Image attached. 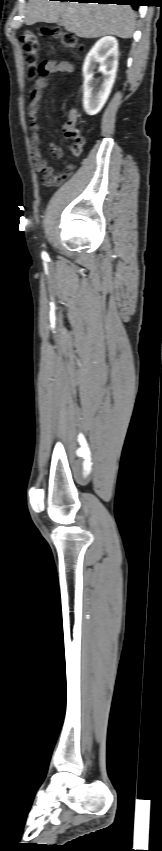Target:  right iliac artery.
<instances>
[{
  "mask_svg": "<svg viewBox=\"0 0 162 851\" xmlns=\"http://www.w3.org/2000/svg\"><path fill=\"white\" fill-rule=\"evenodd\" d=\"M43 256H46V253H43Z\"/></svg>",
  "mask_w": 162,
  "mask_h": 851,
  "instance_id": "right-iliac-artery-1",
  "label": "right iliac artery"
}]
</instances>
